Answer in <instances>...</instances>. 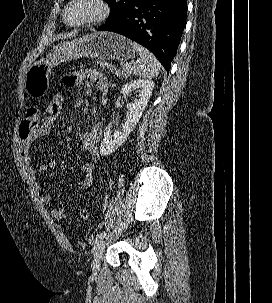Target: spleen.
<instances>
[{
    "instance_id": "spleen-1",
    "label": "spleen",
    "mask_w": 272,
    "mask_h": 303,
    "mask_svg": "<svg viewBox=\"0 0 272 303\" xmlns=\"http://www.w3.org/2000/svg\"><path fill=\"white\" fill-rule=\"evenodd\" d=\"M131 45L133 50H135L140 57L133 69V74L148 79L157 76L161 69V65L157 58L138 43L131 42Z\"/></svg>"
}]
</instances>
